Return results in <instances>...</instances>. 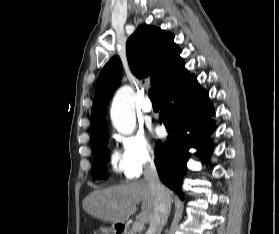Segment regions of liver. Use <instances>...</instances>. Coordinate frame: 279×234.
<instances>
[{
  "instance_id": "1",
  "label": "liver",
  "mask_w": 279,
  "mask_h": 234,
  "mask_svg": "<svg viewBox=\"0 0 279 234\" xmlns=\"http://www.w3.org/2000/svg\"><path fill=\"white\" fill-rule=\"evenodd\" d=\"M142 202L137 219L148 223L154 212L153 197L147 181H135L107 189L95 190L83 201V209L102 221L123 223L136 213Z\"/></svg>"
}]
</instances>
